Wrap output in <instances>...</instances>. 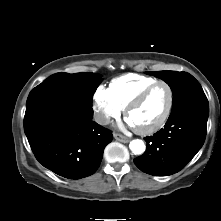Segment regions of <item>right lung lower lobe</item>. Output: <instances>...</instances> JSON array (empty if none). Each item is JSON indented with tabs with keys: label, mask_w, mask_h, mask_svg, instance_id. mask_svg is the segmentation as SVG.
I'll list each match as a JSON object with an SVG mask.
<instances>
[{
	"label": "right lung lower lobe",
	"mask_w": 221,
	"mask_h": 221,
	"mask_svg": "<svg viewBox=\"0 0 221 221\" xmlns=\"http://www.w3.org/2000/svg\"><path fill=\"white\" fill-rule=\"evenodd\" d=\"M92 117L51 100L26 108L24 131L36 159L68 179L95 173L113 135Z\"/></svg>",
	"instance_id": "right-lung-lower-lobe-1"
}]
</instances>
